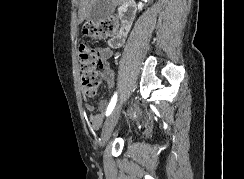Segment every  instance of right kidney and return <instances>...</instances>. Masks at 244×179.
<instances>
[{"label": "right kidney", "mask_w": 244, "mask_h": 179, "mask_svg": "<svg viewBox=\"0 0 244 179\" xmlns=\"http://www.w3.org/2000/svg\"><path fill=\"white\" fill-rule=\"evenodd\" d=\"M142 2H147V0H142ZM142 2H139L138 10H142V8H144V4H142Z\"/></svg>", "instance_id": "right-kidney-1"}]
</instances>
